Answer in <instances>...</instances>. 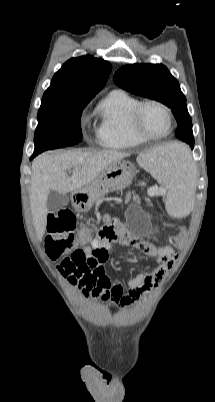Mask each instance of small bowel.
<instances>
[{"mask_svg": "<svg viewBox=\"0 0 215 402\" xmlns=\"http://www.w3.org/2000/svg\"><path fill=\"white\" fill-rule=\"evenodd\" d=\"M130 246L146 252L162 264L153 273H138L128 281V291L125 293L122 283L110 279L104 264L110 259L113 242ZM83 254L81 263L73 262L65 267L62 263L60 271L68 284L75 288L84 298H98L110 301L122 309L132 307L143 295L158 286L166 273L164 266L173 257V252L166 246H155L149 241L129 232L122 224L114 223L104 226L92 238L89 246L80 250Z\"/></svg>", "mask_w": 215, "mask_h": 402, "instance_id": "obj_1", "label": "small bowel"}]
</instances>
